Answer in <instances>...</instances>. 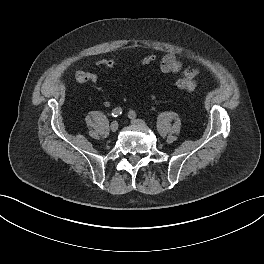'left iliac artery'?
Instances as JSON below:
<instances>
[{
  "instance_id": "obj_1",
  "label": "left iliac artery",
  "mask_w": 264,
  "mask_h": 264,
  "mask_svg": "<svg viewBox=\"0 0 264 264\" xmlns=\"http://www.w3.org/2000/svg\"><path fill=\"white\" fill-rule=\"evenodd\" d=\"M137 115H136V112L135 111H133V110H131L130 112H129V117L130 118H135Z\"/></svg>"
}]
</instances>
